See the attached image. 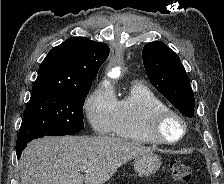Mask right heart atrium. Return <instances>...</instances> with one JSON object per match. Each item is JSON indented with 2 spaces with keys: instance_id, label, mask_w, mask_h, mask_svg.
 Segmentation results:
<instances>
[{
  "instance_id": "right-heart-atrium-1",
  "label": "right heart atrium",
  "mask_w": 224,
  "mask_h": 184,
  "mask_svg": "<svg viewBox=\"0 0 224 184\" xmlns=\"http://www.w3.org/2000/svg\"><path fill=\"white\" fill-rule=\"evenodd\" d=\"M115 103L116 97L112 89L104 83L99 84L87 97L85 114L95 132H110Z\"/></svg>"
}]
</instances>
